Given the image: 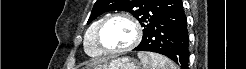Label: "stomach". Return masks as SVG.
I'll return each instance as SVG.
<instances>
[{
	"label": "stomach",
	"mask_w": 246,
	"mask_h": 69,
	"mask_svg": "<svg viewBox=\"0 0 246 69\" xmlns=\"http://www.w3.org/2000/svg\"><path fill=\"white\" fill-rule=\"evenodd\" d=\"M84 69H140L134 61L128 57L112 59L111 61L93 64Z\"/></svg>",
	"instance_id": "0dacf381"
}]
</instances>
